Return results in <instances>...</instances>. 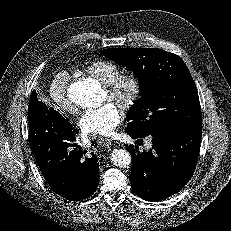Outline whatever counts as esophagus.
Wrapping results in <instances>:
<instances>
[{
    "mask_svg": "<svg viewBox=\"0 0 231 231\" xmlns=\"http://www.w3.org/2000/svg\"><path fill=\"white\" fill-rule=\"evenodd\" d=\"M103 146H110L113 144V141L111 139H102L100 142Z\"/></svg>",
    "mask_w": 231,
    "mask_h": 231,
    "instance_id": "obj_1",
    "label": "esophagus"
}]
</instances>
